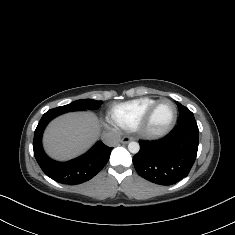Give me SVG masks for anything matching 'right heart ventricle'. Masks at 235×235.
Segmentation results:
<instances>
[{"label": "right heart ventricle", "instance_id": "obj_1", "mask_svg": "<svg viewBox=\"0 0 235 235\" xmlns=\"http://www.w3.org/2000/svg\"><path fill=\"white\" fill-rule=\"evenodd\" d=\"M156 100L154 97L146 96L115 104L110 108L109 114L118 126L133 131Z\"/></svg>", "mask_w": 235, "mask_h": 235}]
</instances>
